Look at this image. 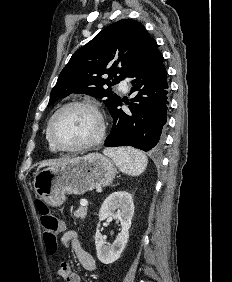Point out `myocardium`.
Here are the masks:
<instances>
[{
	"label": "myocardium",
	"instance_id": "obj_1",
	"mask_svg": "<svg viewBox=\"0 0 232 282\" xmlns=\"http://www.w3.org/2000/svg\"><path fill=\"white\" fill-rule=\"evenodd\" d=\"M71 107H86L91 109L97 116L99 120V131L98 134L90 141L80 144V145H75V146H65L60 144L54 137L53 134V125L56 120V118L66 109L71 108ZM106 133V123L104 120V117L97 106L96 103L90 100H74L65 103L61 107H59L54 114L51 116L48 125H47V135L49 138V141L51 144L58 150V151H65V152H75V151H83V150H88L91 149L98 144H100L105 136Z\"/></svg>",
	"mask_w": 232,
	"mask_h": 282
}]
</instances>
